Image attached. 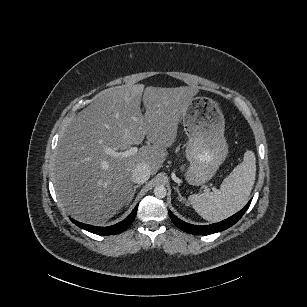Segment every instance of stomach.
<instances>
[{"mask_svg":"<svg viewBox=\"0 0 307 307\" xmlns=\"http://www.w3.org/2000/svg\"><path fill=\"white\" fill-rule=\"evenodd\" d=\"M182 124L188 136L185 152L190 162L184 176L191 185H203L212 179L228 155L224 116L214 100L194 97L182 115Z\"/></svg>","mask_w":307,"mask_h":307,"instance_id":"stomach-1","label":"stomach"}]
</instances>
